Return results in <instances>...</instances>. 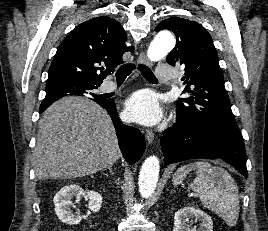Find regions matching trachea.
Masks as SVG:
<instances>
[{"instance_id": "trachea-1", "label": "trachea", "mask_w": 268, "mask_h": 231, "mask_svg": "<svg viewBox=\"0 0 268 231\" xmlns=\"http://www.w3.org/2000/svg\"><path fill=\"white\" fill-rule=\"evenodd\" d=\"M133 69H135V65L133 64H126L121 66L116 72V78H126ZM139 70L146 80L157 82V79L149 67L141 64L139 65Z\"/></svg>"}]
</instances>
